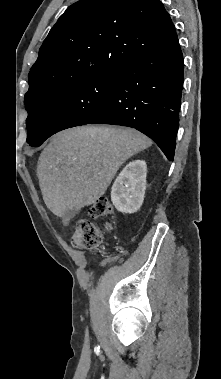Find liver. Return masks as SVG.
Wrapping results in <instances>:
<instances>
[{
	"instance_id": "obj_1",
	"label": "liver",
	"mask_w": 221,
	"mask_h": 379,
	"mask_svg": "<svg viewBox=\"0 0 221 379\" xmlns=\"http://www.w3.org/2000/svg\"><path fill=\"white\" fill-rule=\"evenodd\" d=\"M152 141L132 128L84 126L56 134L41 152L37 175L47 208L62 217L104 195L119 167Z\"/></svg>"
}]
</instances>
